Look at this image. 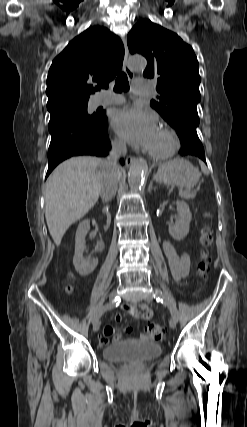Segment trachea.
Returning <instances> with one entry per match:
<instances>
[{
	"label": "trachea",
	"mask_w": 247,
	"mask_h": 427,
	"mask_svg": "<svg viewBox=\"0 0 247 427\" xmlns=\"http://www.w3.org/2000/svg\"><path fill=\"white\" fill-rule=\"evenodd\" d=\"M128 90H129V82L127 79V75L124 72H121L119 73L116 79L114 91L117 93H121L122 91L126 92Z\"/></svg>",
	"instance_id": "trachea-1"
}]
</instances>
